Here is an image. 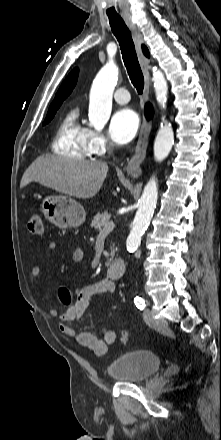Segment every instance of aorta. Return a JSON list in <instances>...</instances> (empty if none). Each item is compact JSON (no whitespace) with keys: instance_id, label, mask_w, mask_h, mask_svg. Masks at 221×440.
I'll use <instances>...</instances> for the list:
<instances>
[{"instance_id":"aorta-1","label":"aorta","mask_w":221,"mask_h":440,"mask_svg":"<svg viewBox=\"0 0 221 440\" xmlns=\"http://www.w3.org/2000/svg\"><path fill=\"white\" fill-rule=\"evenodd\" d=\"M118 80V68L110 63L105 65L97 74L91 87L89 101V124L96 129H102L108 122L112 110V97ZM153 83L156 100L162 108L167 102L168 85L164 74L153 68ZM174 144V132L169 122L161 123L154 141V158L163 161ZM158 186L155 178L145 186L139 201V208L132 223V230L127 238L126 245L129 251L136 250L144 231L147 229L156 208Z\"/></svg>"}]
</instances>
